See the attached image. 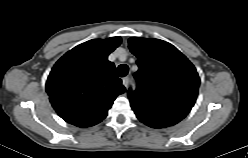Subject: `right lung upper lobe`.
Instances as JSON below:
<instances>
[{
  "label": "right lung upper lobe",
  "mask_w": 248,
  "mask_h": 158,
  "mask_svg": "<svg viewBox=\"0 0 248 158\" xmlns=\"http://www.w3.org/2000/svg\"><path fill=\"white\" fill-rule=\"evenodd\" d=\"M121 43L120 37L93 39L61 57L46 82L50 102L58 115L78 127L101 122L116 97L125 92L108 55Z\"/></svg>",
  "instance_id": "1"
}]
</instances>
